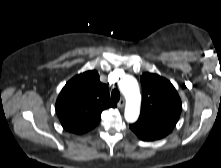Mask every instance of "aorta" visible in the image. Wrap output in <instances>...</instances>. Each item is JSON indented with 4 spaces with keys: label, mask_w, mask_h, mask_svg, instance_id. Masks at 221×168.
I'll list each match as a JSON object with an SVG mask.
<instances>
[{
    "label": "aorta",
    "mask_w": 221,
    "mask_h": 168,
    "mask_svg": "<svg viewBox=\"0 0 221 168\" xmlns=\"http://www.w3.org/2000/svg\"><path fill=\"white\" fill-rule=\"evenodd\" d=\"M119 87L126 99L125 119L129 123H133L138 119L140 113L141 96L138 82L134 77L126 76L120 82Z\"/></svg>",
    "instance_id": "1"
}]
</instances>
